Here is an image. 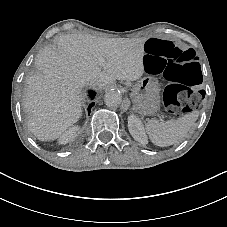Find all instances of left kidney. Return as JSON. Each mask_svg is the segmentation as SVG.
Segmentation results:
<instances>
[{"mask_svg": "<svg viewBox=\"0 0 227 227\" xmlns=\"http://www.w3.org/2000/svg\"><path fill=\"white\" fill-rule=\"evenodd\" d=\"M128 129L132 137L139 143L145 145L148 143L147 135L141 120L135 115L128 116Z\"/></svg>", "mask_w": 227, "mask_h": 227, "instance_id": "obj_1", "label": "left kidney"}]
</instances>
